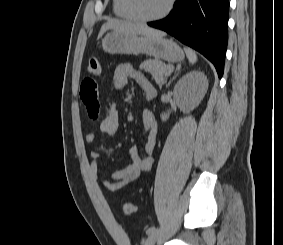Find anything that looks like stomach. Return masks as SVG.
Returning a JSON list of instances; mask_svg holds the SVG:
<instances>
[{
  "label": "stomach",
  "mask_w": 283,
  "mask_h": 245,
  "mask_svg": "<svg viewBox=\"0 0 283 245\" xmlns=\"http://www.w3.org/2000/svg\"><path fill=\"white\" fill-rule=\"evenodd\" d=\"M102 48L110 54H147L168 62L184 59L183 50L172 40L162 36L111 32L102 40Z\"/></svg>",
  "instance_id": "0dacf381"
}]
</instances>
